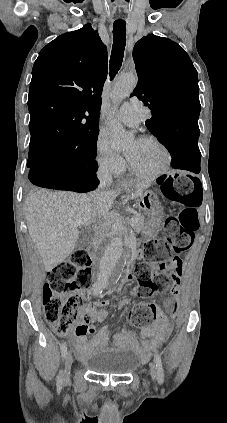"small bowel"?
I'll list each match as a JSON object with an SVG mask.
<instances>
[{
    "label": "small bowel",
    "mask_w": 227,
    "mask_h": 423,
    "mask_svg": "<svg viewBox=\"0 0 227 423\" xmlns=\"http://www.w3.org/2000/svg\"><path fill=\"white\" fill-rule=\"evenodd\" d=\"M93 293V290L91 291ZM173 298L164 301V308L166 312L174 318L179 304V287L174 285L172 287ZM128 304L127 300H122L117 303L118 307H124ZM109 302L104 299L97 300L86 307L85 314L79 324V331L75 333V348L80 356H85L96 346L106 343L110 335L108 327L104 326L94 336L91 342H88L89 335L95 334L92 327L94 322H103L107 317L105 307ZM173 323L162 312L158 311L151 324L141 329L143 342L139 344L131 332L123 334H115L114 340L116 344L126 346L135 350L140 355L144 356L149 348L162 342L172 331Z\"/></svg>",
    "instance_id": "small-bowel-1"
}]
</instances>
